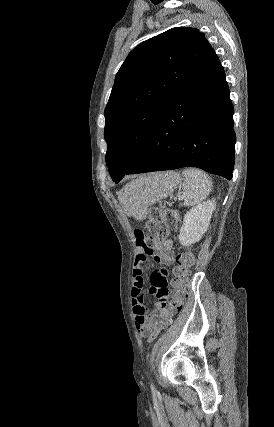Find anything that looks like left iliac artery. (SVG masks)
Listing matches in <instances>:
<instances>
[{
	"mask_svg": "<svg viewBox=\"0 0 274 427\" xmlns=\"http://www.w3.org/2000/svg\"><path fill=\"white\" fill-rule=\"evenodd\" d=\"M151 391L153 394L157 393V389L155 388L153 383H151Z\"/></svg>",
	"mask_w": 274,
	"mask_h": 427,
	"instance_id": "obj_1",
	"label": "left iliac artery"
}]
</instances>
